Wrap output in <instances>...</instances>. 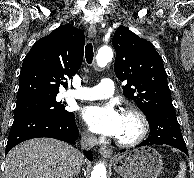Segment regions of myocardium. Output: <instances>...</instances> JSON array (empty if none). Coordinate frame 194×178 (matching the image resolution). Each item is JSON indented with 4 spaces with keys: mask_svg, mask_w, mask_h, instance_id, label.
Returning <instances> with one entry per match:
<instances>
[{
    "mask_svg": "<svg viewBox=\"0 0 194 178\" xmlns=\"http://www.w3.org/2000/svg\"><path fill=\"white\" fill-rule=\"evenodd\" d=\"M123 115L133 116L139 124L137 135L129 140L116 138V143L122 147H134L144 141L149 132V122L145 114L137 108L127 107L122 111Z\"/></svg>",
    "mask_w": 194,
    "mask_h": 178,
    "instance_id": "1",
    "label": "myocardium"
}]
</instances>
